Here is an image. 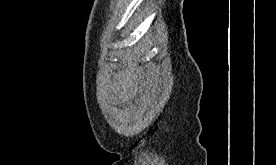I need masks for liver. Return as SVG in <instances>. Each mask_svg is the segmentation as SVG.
<instances>
[{"instance_id":"obj_1","label":"liver","mask_w":276,"mask_h":165,"mask_svg":"<svg viewBox=\"0 0 276 165\" xmlns=\"http://www.w3.org/2000/svg\"><path fill=\"white\" fill-rule=\"evenodd\" d=\"M119 84L122 85V87H127L131 84V80L128 74H123L121 79L119 80Z\"/></svg>"}]
</instances>
